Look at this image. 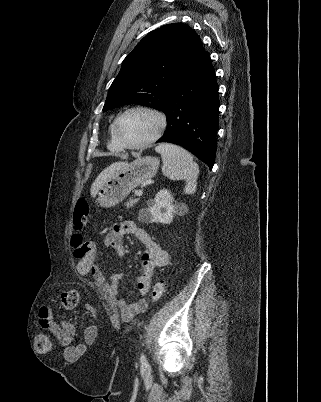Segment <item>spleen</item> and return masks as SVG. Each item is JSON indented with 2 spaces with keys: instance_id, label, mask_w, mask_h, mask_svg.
Segmentation results:
<instances>
[{
  "instance_id": "obj_1",
  "label": "spleen",
  "mask_w": 321,
  "mask_h": 402,
  "mask_svg": "<svg viewBox=\"0 0 321 402\" xmlns=\"http://www.w3.org/2000/svg\"><path fill=\"white\" fill-rule=\"evenodd\" d=\"M155 151L161 154L162 172L170 180H184V192L194 194L197 188L199 167L193 156L184 148L170 143H161Z\"/></svg>"
}]
</instances>
